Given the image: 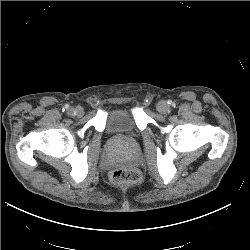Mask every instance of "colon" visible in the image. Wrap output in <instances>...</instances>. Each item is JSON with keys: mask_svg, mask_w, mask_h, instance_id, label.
Segmentation results:
<instances>
[{"mask_svg": "<svg viewBox=\"0 0 250 250\" xmlns=\"http://www.w3.org/2000/svg\"><path fill=\"white\" fill-rule=\"evenodd\" d=\"M109 179L113 184L122 185L139 182L141 175L134 169L118 167L110 171Z\"/></svg>", "mask_w": 250, "mask_h": 250, "instance_id": "1", "label": "colon"}]
</instances>
